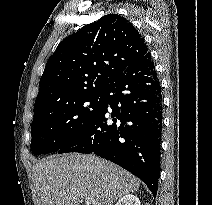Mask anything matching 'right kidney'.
I'll return each mask as SVG.
<instances>
[{"instance_id": "right-kidney-1", "label": "right kidney", "mask_w": 212, "mask_h": 205, "mask_svg": "<svg viewBox=\"0 0 212 205\" xmlns=\"http://www.w3.org/2000/svg\"><path fill=\"white\" fill-rule=\"evenodd\" d=\"M115 205H141L139 198L133 194H127L120 198Z\"/></svg>"}]
</instances>
